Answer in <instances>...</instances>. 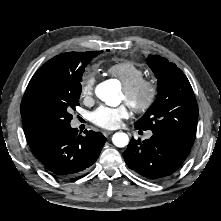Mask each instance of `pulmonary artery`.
I'll use <instances>...</instances> for the list:
<instances>
[{
    "instance_id": "obj_1",
    "label": "pulmonary artery",
    "mask_w": 221,
    "mask_h": 221,
    "mask_svg": "<svg viewBox=\"0 0 221 221\" xmlns=\"http://www.w3.org/2000/svg\"><path fill=\"white\" fill-rule=\"evenodd\" d=\"M151 136H152V133L149 132V133L147 134V137L149 138V137H151Z\"/></svg>"
}]
</instances>
